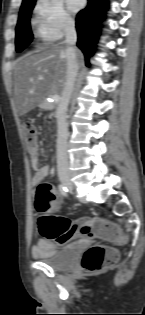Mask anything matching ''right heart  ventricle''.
<instances>
[{"mask_svg":"<svg viewBox=\"0 0 145 315\" xmlns=\"http://www.w3.org/2000/svg\"><path fill=\"white\" fill-rule=\"evenodd\" d=\"M36 37H37V38H43V36H42V34H41V32H40L39 29H38L37 32H36Z\"/></svg>","mask_w":145,"mask_h":315,"instance_id":"e07e8e85","label":"right heart ventricle"}]
</instances>
